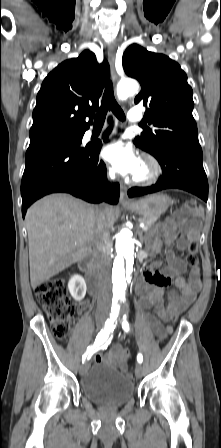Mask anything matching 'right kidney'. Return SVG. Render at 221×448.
Here are the masks:
<instances>
[{
    "mask_svg": "<svg viewBox=\"0 0 221 448\" xmlns=\"http://www.w3.org/2000/svg\"><path fill=\"white\" fill-rule=\"evenodd\" d=\"M68 289L74 300L80 301L86 294V283L82 276L74 275L68 282Z\"/></svg>",
    "mask_w": 221,
    "mask_h": 448,
    "instance_id": "obj_1",
    "label": "right kidney"
}]
</instances>
